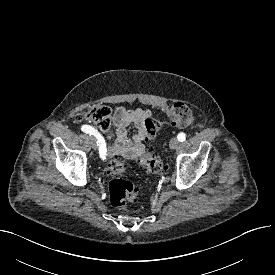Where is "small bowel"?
Returning a JSON list of instances; mask_svg holds the SVG:
<instances>
[{"label": "small bowel", "instance_id": "1", "mask_svg": "<svg viewBox=\"0 0 275 275\" xmlns=\"http://www.w3.org/2000/svg\"><path fill=\"white\" fill-rule=\"evenodd\" d=\"M149 119L153 118L148 109L129 110L123 106L117 107L113 117L114 130L108 134V138L114 139V143L106 147V156L116 160L119 156L133 159L141 155L143 142L148 139L146 122ZM130 125L136 129L131 139L127 132Z\"/></svg>", "mask_w": 275, "mask_h": 275}]
</instances>
